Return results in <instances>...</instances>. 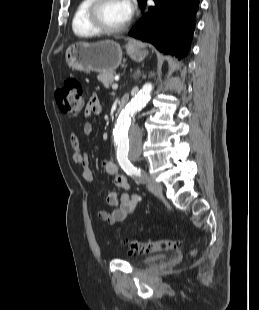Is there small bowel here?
Wrapping results in <instances>:
<instances>
[{
	"mask_svg": "<svg viewBox=\"0 0 259 310\" xmlns=\"http://www.w3.org/2000/svg\"><path fill=\"white\" fill-rule=\"evenodd\" d=\"M103 110L104 105L99 98L96 95H92L86 106V114L100 115ZM83 132L89 135L92 132L91 124H85ZM70 143L72 150L71 158L75 164L79 165L82 178L88 183L93 182L94 175L89 167L88 156L82 153L81 140L76 133L71 134ZM101 166L104 172L114 177V183L118 188L123 190L129 189L128 180L119 173L118 167L113 161L105 159L101 162ZM139 201L140 198L137 195H131L128 192L118 194L116 191H111L106 197V202L109 206L115 207V209L112 212L99 210L97 212L98 218L110 225L125 221L135 214Z\"/></svg>",
	"mask_w": 259,
	"mask_h": 310,
	"instance_id": "1",
	"label": "small bowel"
}]
</instances>
